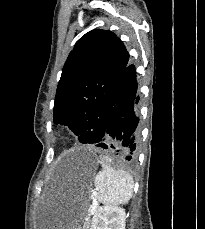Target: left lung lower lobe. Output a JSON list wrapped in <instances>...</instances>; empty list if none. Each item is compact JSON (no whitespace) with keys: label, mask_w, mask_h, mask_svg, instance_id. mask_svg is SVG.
<instances>
[{"label":"left lung lower lobe","mask_w":205,"mask_h":229,"mask_svg":"<svg viewBox=\"0 0 205 229\" xmlns=\"http://www.w3.org/2000/svg\"><path fill=\"white\" fill-rule=\"evenodd\" d=\"M135 67L127 64L107 100L103 123L87 129V143L117 152L126 162L137 157L139 118L136 115L139 97Z\"/></svg>","instance_id":"obj_1"}]
</instances>
